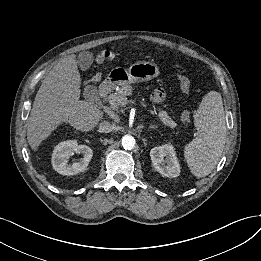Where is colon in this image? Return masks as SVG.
<instances>
[{
  "instance_id": "1",
  "label": "colon",
  "mask_w": 261,
  "mask_h": 261,
  "mask_svg": "<svg viewBox=\"0 0 261 261\" xmlns=\"http://www.w3.org/2000/svg\"><path fill=\"white\" fill-rule=\"evenodd\" d=\"M98 59L101 60L102 62H108L111 60V52L107 49H104L99 55H98ZM177 72L179 73V77H180V80H183L184 78L181 76V71H182V68L181 67H177L176 68ZM181 88L183 90V92H188V88H189V85L185 82H182L181 83Z\"/></svg>"
}]
</instances>
